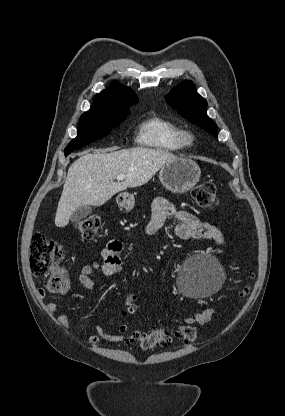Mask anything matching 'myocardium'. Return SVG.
<instances>
[{"label":"myocardium","mask_w":285,"mask_h":416,"mask_svg":"<svg viewBox=\"0 0 285 416\" xmlns=\"http://www.w3.org/2000/svg\"><path fill=\"white\" fill-rule=\"evenodd\" d=\"M179 141L182 147L190 148L194 146L196 138L191 130H181Z\"/></svg>","instance_id":"f54148a6"}]
</instances>
